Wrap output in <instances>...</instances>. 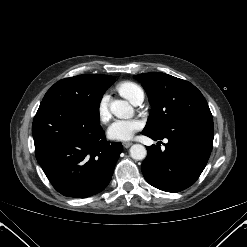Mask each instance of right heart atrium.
Here are the masks:
<instances>
[{
	"instance_id": "d8ad5b80",
	"label": "right heart atrium",
	"mask_w": 247,
	"mask_h": 247,
	"mask_svg": "<svg viewBox=\"0 0 247 247\" xmlns=\"http://www.w3.org/2000/svg\"><path fill=\"white\" fill-rule=\"evenodd\" d=\"M98 117L102 123L109 122L111 113L109 109V96L103 95L98 103Z\"/></svg>"
}]
</instances>
